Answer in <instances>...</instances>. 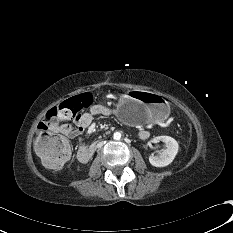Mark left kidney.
Listing matches in <instances>:
<instances>
[{
  "label": "left kidney",
  "mask_w": 233,
  "mask_h": 233,
  "mask_svg": "<svg viewBox=\"0 0 233 233\" xmlns=\"http://www.w3.org/2000/svg\"><path fill=\"white\" fill-rule=\"evenodd\" d=\"M153 141H162L165 143V149L157 156L150 155L149 162L155 167L168 166L178 153L179 145L177 141L170 136H158Z\"/></svg>",
  "instance_id": "obj_1"
}]
</instances>
